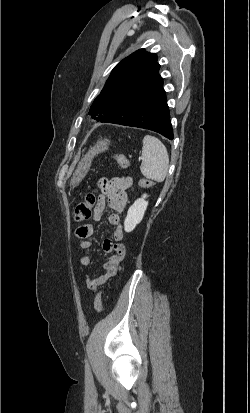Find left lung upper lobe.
<instances>
[{
	"label": "left lung upper lobe",
	"mask_w": 250,
	"mask_h": 413,
	"mask_svg": "<svg viewBox=\"0 0 250 413\" xmlns=\"http://www.w3.org/2000/svg\"><path fill=\"white\" fill-rule=\"evenodd\" d=\"M160 65L154 53L139 49L122 61L112 70L111 75L101 93L95 98L89 114L100 121L113 114L122 102L132 96L138 84L161 79Z\"/></svg>",
	"instance_id": "5c2ea615"
}]
</instances>
